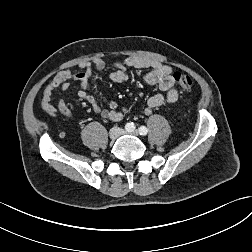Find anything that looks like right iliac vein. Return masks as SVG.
<instances>
[{
    "instance_id": "right-iliac-vein-1",
    "label": "right iliac vein",
    "mask_w": 252,
    "mask_h": 252,
    "mask_svg": "<svg viewBox=\"0 0 252 252\" xmlns=\"http://www.w3.org/2000/svg\"><path fill=\"white\" fill-rule=\"evenodd\" d=\"M123 130L119 127H113L109 131V136L111 139L115 140L117 139L120 135H122Z\"/></svg>"
}]
</instances>
